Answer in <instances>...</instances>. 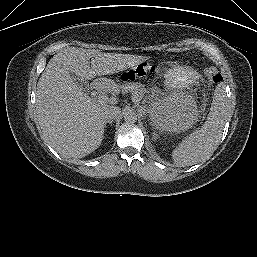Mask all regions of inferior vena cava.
<instances>
[{
  "mask_svg": "<svg viewBox=\"0 0 257 257\" xmlns=\"http://www.w3.org/2000/svg\"><path fill=\"white\" fill-rule=\"evenodd\" d=\"M121 113V109L117 106H107L102 111V116L106 121L115 120Z\"/></svg>",
  "mask_w": 257,
  "mask_h": 257,
  "instance_id": "inferior-vena-cava-1",
  "label": "inferior vena cava"
}]
</instances>
